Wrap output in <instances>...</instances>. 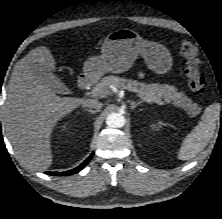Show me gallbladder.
<instances>
[{
    "label": "gallbladder",
    "instance_id": "bac80fb5",
    "mask_svg": "<svg viewBox=\"0 0 222 219\" xmlns=\"http://www.w3.org/2000/svg\"><path fill=\"white\" fill-rule=\"evenodd\" d=\"M35 75L42 83L48 85L54 92L59 94H68L69 89L66 85L50 70L44 66H36L33 68Z\"/></svg>",
    "mask_w": 222,
    "mask_h": 219
}]
</instances>
